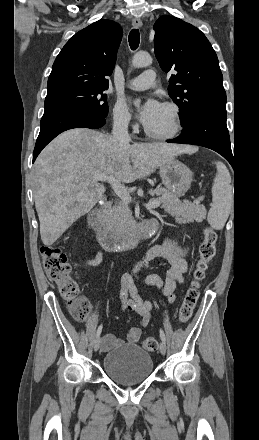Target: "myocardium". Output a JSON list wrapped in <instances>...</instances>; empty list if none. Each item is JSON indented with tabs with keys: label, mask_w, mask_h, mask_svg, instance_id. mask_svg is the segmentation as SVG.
<instances>
[{
	"label": "myocardium",
	"mask_w": 259,
	"mask_h": 440,
	"mask_svg": "<svg viewBox=\"0 0 259 440\" xmlns=\"http://www.w3.org/2000/svg\"><path fill=\"white\" fill-rule=\"evenodd\" d=\"M163 106L167 108L171 115V128L166 133H155L150 131L146 126L144 127L145 134L154 140H170L178 135L181 130V116H180V108L174 102L166 101L163 103Z\"/></svg>",
	"instance_id": "f54148a6"
}]
</instances>
